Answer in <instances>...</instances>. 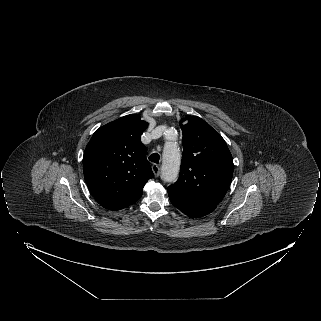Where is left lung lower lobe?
I'll return each mask as SVG.
<instances>
[{"instance_id": "left-lung-lower-lobe-1", "label": "left lung lower lobe", "mask_w": 321, "mask_h": 321, "mask_svg": "<svg viewBox=\"0 0 321 321\" xmlns=\"http://www.w3.org/2000/svg\"><path fill=\"white\" fill-rule=\"evenodd\" d=\"M168 195L176 208L192 218L205 216L216 208V205L191 201L170 191H168Z\"/></svg>"}]
</instances>
